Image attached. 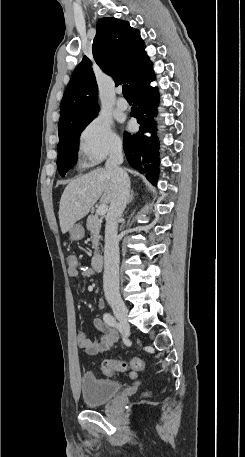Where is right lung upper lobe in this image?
<instances>
[{
  "label": "right lung upper lobe",
  "instance_id": "right-lung-upper-lobe-1",
  "mask_svg": "<svg viewBox=\"0 0 245 457\" xmlns=\"http://www.w3.org/2000/svg\"><path fill=\"white\" fill-rule=\"evenodd\" d=\"M93 40V58L115 82H127L130 88L154 71L144 52L140 32L126 21L104 17L97 23ZM91 61L84 56L74 70L60 105L59 128L97 113V84Z\"/></svg>",
  "mask_w": 245,
  "mask_h": 457
}]
</instances>
